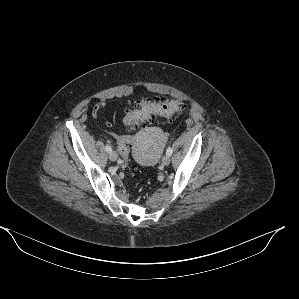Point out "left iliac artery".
I'll list each match as a JSON object with an SVG mask.
<instances>
[{"label": "left iliac artery", "mask_w": 299, "mask_h": 299, "mask_svg": "<svg viewBox=\"0 0 299 299\" xmlns=\"http://www.w3.org/2000/svg\"><path fill=\"white\" fill-rule=\"evenodd\" d=\"M172 153H173V150H172L171 147H169V148L166 150V154H167L168 156H171Z\"/></svg>", "instance_id": "1"}]
</instances>
